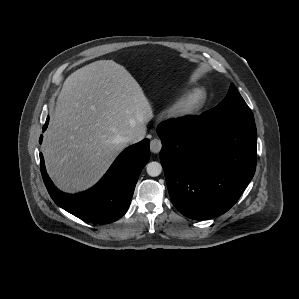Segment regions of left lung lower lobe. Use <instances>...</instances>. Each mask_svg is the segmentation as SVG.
Here are the masks:
<instances>
[{
	"label": "left lung lower lobe",
	"instance_id": "obj_1",
	"mask_svg": "<svg viewBox=\"0 0 299 299\" xmlns=\"http://www.w3.org/2000/svg\"><path fill=\"white\" fill-rule=\"evenodd\" d=\"M157 133L171 201L188 218L227 212L255 173L254 121L221 123L186 116L160 123Z\"/></svg>",
	"mask_w": 299,
	"mask_h": 299
}]
</instances>
